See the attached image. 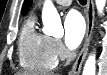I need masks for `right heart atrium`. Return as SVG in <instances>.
Wrapping results in <instances>:
<instances>
[{
  "label": "right heart atrium",
  "mask_w": 107,
  "mask_h": 75,
  "mask_svg": "<svg viewBox=\"0 0 107 75\" xmlns=\"http://www.w3.org/2000/svg\"><path fill=\"white\" fill-rule=\"evenodd\" d=\"M51 47L56 59H62L64 57L65 50L60 40L51 39Z\"/></svg>",
  "instance_id": "1"
}]
</instances>
